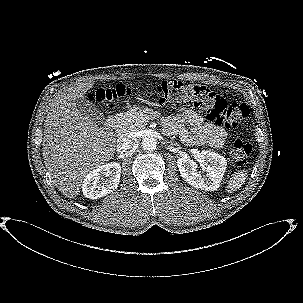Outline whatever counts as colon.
I'll return each mask as SVG.
<instances>
[{
	"label": "colon",
	"instance_id": "1",
	"mask_svg": "<svg viewBox=\"0 0 303 303\" xmlns=\"http://www.w3.org/2000/svg\"><path fill=\"white\" fill-rule=\"evenodd\" d=\"M130 91L121 86L99 88L90 93L93 100L109 108L119 105ZM155 95L161 104L192 105L206 117L228 128L239 127L249 115L245 104L229 102L207 86L200 83H186L179 80H164L157 85ZM252 151L249 140L242 134L233 141L231 158L237 165H243Z\"/></svg>",
	"mask_w": 303,
	"mask_h": 303
}]
</instances>
